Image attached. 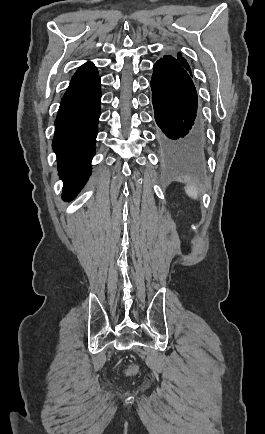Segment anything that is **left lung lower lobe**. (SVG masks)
Wrapping results in <instances>:
<instances>
[{
    "label": "left lung lower lobe",
    "instance_id": "0a47b994",
    "mask_svg": "<svg viewBox=\"0 0 265 434\" xmlns=\"http://www.w3.org/2000/svg\"><path fill=\"white\" fill-rule=\"evenodd\" d=\"M192 74L171 55L153 67L152 104L156 142L166 153L197 155L207 147L205 127L198 112Z\"/></svg>",
    "mask_w": 265,
    "mask_h": 434
}]
</instances>
